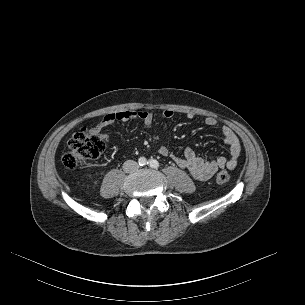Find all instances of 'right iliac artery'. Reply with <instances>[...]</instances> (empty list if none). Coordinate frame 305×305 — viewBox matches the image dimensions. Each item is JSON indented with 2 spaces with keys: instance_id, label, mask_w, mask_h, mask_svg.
Returning a JSON list of instances; mask_svg holds the SVG:
<instances>
[{
  "instance_id": "1",
  "label": "right iliac artery",
  "mask_w": 305,
  "mask_h": 305,
  "mask_svg": "<svg viewBox=\"0 0 305 305\" xmlns=\"http://www.w3.org/2000/svg\"><path fill=\"white\" fill-rule=\"evenodd\" d=\"M138 162L140 166H144L148 163L144 157H141Z\"/></svg>"
}]
</instances>
